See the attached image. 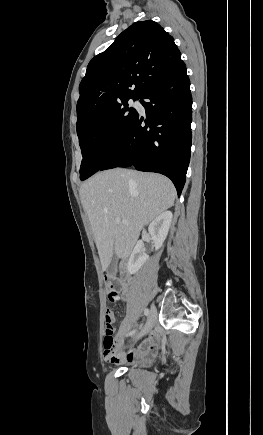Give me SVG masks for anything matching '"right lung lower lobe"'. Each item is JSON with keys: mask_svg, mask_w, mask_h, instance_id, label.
<instances>
[{"mask_svg": "<svg viewBox=\"0 0 263 435\" xmlns=\"http://www.w3.org/2000/svg\"><path fill=\"white\" fill-rule=\"evenodd\" d=\"M145 108L100 170L134 166L169 177L178 195L185 184L190 161L192 97L184 62L151 86L141 97Z\"/></svg>", "mask_w": 263, "mask_h": 435, "instance_id": "98d812e1", "label": "right lung lower lobe"}]
</instances>
